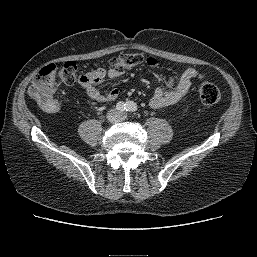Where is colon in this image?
<instances>
[{"mask_svg":"<svg viewBox=\"0 0 257 257\" xmlns=\"http://www.w3.org/2000/svg\"><path fill=\"white\" fill-rule=\"evenodd\" d=\"M144 58L140 53H125L109 61V67L119 73L128 68L137 66ZM200 77V74H199ZM86 81L83 75L78 74L77 64L68 61L57 67L53 64L43 67L36 75L28 89L29 96L45 111L54 113L59 110L60 103L55 98V85L62 82L66 85L81 84ZM198 95L202 103L213 105L220 101L219 88L209 82H204L198 89Z\"/></svg>","mask_w":257,"mask_h":257,"instance_id":"5ec220e1","label":"colon"}]
</instances>
